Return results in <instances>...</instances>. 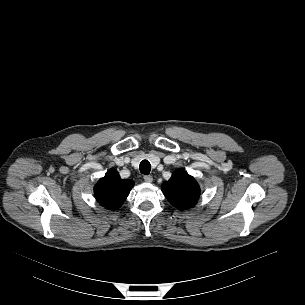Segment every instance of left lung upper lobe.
Listing matches in <instances>:
<instances>
[{
  "instance_id": "5c2ea615",
  "label": "left lung upper lobe",
  "mask_w": 305,
  "mask_h": 305,
  "mask_svg": "<svg viewBox=\"0 0 305 305\" xmlns=\"http://www.w3.org/2000/svg\"><path fill=\"white\" fill-rule=\"evenodd\" d=\"M162 191L168 201L180 210L193 207L200 195L198 183L183 170L175 171L171 178L162 184Z\"/></svg>"
}]
</instances>
